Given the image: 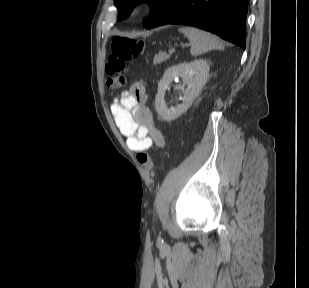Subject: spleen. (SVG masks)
I'll return each instance as SVG.
<instances>
[{
  "label": "spleen",
  "instance_id": "spleen-1",
  "mask_svg": "<svg viewBox=\"0 0 309 288\" xmlns=\"http://www.w3.org/2000/svg\"><path fill=\"white\" fill-rule=\"evenodd\" d=\"M190 41V53L193 56L200 55L212 49H222L223 44L220 39L203 30L194 27H183L179 29Z\"/></svg>",
  "mask_w": 309,
  "mask_h": 288
}]
</instances>
